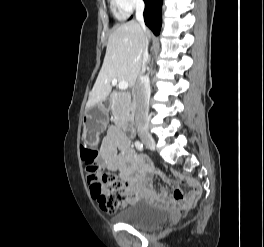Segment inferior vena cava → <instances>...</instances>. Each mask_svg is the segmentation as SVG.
Instances as JSON below:
<instances>
[{"mask_svg": "<svg viewBox=\"0 0 264 247\" xmlns=\"http://www.w3.org/2000/svg\"><path fill=\"white\" fill-rule=\"evenodd\" d=\"M144 2L139 0L136 3V20L139 22L142 30L146 32V27L144 23ZM141 68L144 71L145 64L148 61V41L143 40L141 46ZM136 94V114H135V123L136 126L142 127L146 125L149 109V99H150V83L145 77H141L135 87Z\"/></svg>", "mask_w": 264, "mask_h": 247, "instance_id": "602c4592", "label": "inferior vena cava"}]
</instances>
